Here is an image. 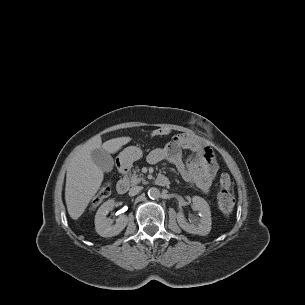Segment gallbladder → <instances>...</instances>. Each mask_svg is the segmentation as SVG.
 Wrapping results in <instances>:
<instances>
[{"mask_svg":"<svg viewBox=\"0 0 305 305\" xmlns=\"http://www.w3.org/2000/svg\"><path fill=\"white\" fill-rule=\"evenodd\" d=\"M93 162L103 171L110 172L114 166L112 156L104 149H94L91 152Z\"/></svg>","mask_w":305,"mask_h":305,"instance_id":"1","label":"gallbladder"}]
</instances>
